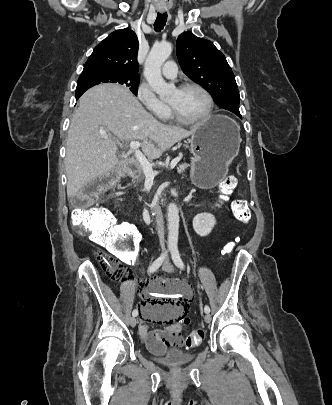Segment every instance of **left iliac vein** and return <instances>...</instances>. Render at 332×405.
I'll list each match as a JSON object with an SVG mask.
<instances>
[{
    "mask_svg": "<svg viewBox=\"0 0 332 405\" xmlns=\"http://www.w3.org/2000/svg\"><path fill=\"white\" fill-rule=\"evenodd\" d=\"M162 268H163V270L166 271V272H172V271L174 270V269H173V266L171 265V263H170V261H169L168 258L165 259ZM204 321H205L206 323H210V322H211V315H210V314H206V315L204 316Z\"/></svg>",
    "mask_w": 332,
    "mask_h": 405,
    "instance_id": "obj_1",
    "label": "left iliac vein"
}]
</instances>
